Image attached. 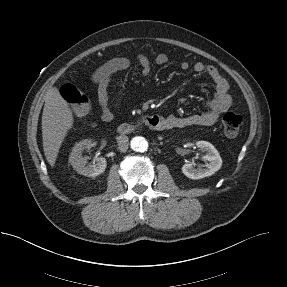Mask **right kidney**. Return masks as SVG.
Returning <instances> with one entry per match:
<instances>
[{
    "mask_svg": "<svg viewBox=\"0 0 287 287\" xmlns=\"http://www.w3.org/2000/svg\"><path fill=\"white\" fill-rule=\"evenodd\" d=\"M92 146L91 140L85 139L76 143L72 149L69 157V162L71 163L74 170L79 174L96 177L102 174L107 166L106 159L103 157L96 158V163L87 164V157L82 156L83 149Z\"/></svg>",
    "mask_w": 287,
    "mask_h": 287,
    "instance_id": "1",
    "label": "right kidney"
}]
</instances>
